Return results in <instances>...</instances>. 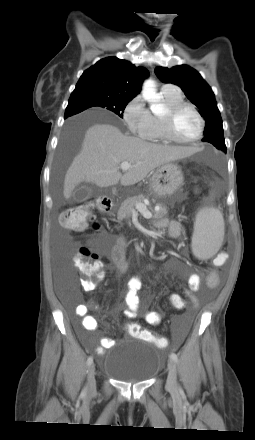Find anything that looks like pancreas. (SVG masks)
I'll return each mask as SVG.
<instances>
[{"label": "pancreas", "mask_w": 255, "mask_h": 440, "mask_svg": "<svg viewBox=\"0 0 255 440\" xmlns=\"http://www.w3.org/2000/svg\"><path fill=\"white\" fill-rule=\"evenodd\" d=\"M145 199V196L138 195L134 197H130L126 199L120 206L118 212H117V218L119 220L127 219L131 216L133 213V210H135L136 204L143 203ZM159 207L158 210L153 211V218L154 219H160L163 217H166L168 214L167 207L157 204Z\"/></svg>", "instance_id": "obj_1"}]
</instances>
